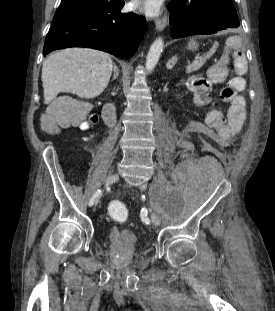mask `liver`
<instances>
[{"label":"liver","mask_w":275,"mask_h":311,"mask_svg":"<svg viewBox=\"0 0 275 311\" xmlns=\"http://www.w3.org/2000/svg\"><path fill=\"white\" fill-rule=\"evenodd\" d=\"M113 69L109 54L95 49L69 48L48 56L42 66L44 103L61 93L91 99L107 87Z\"/></svg>","instance_id":"6515ba94"}]
</instances>
